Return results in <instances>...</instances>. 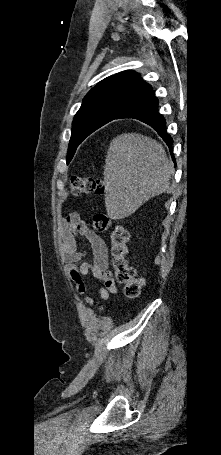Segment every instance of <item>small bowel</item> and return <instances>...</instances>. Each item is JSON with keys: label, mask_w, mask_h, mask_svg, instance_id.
Masks as SVG:
<instances>
[{"label": "small bowel", "mask_w": 221, "mask_h": 455, "mask_svg": "<svg viewBox=\"0 0 221 455\" xmlns=\"http://www.w3.org/2000/svg\"><path fill=\"white\" fill-rule=\"evenodd\" d=\"M61 250L62 256L72 266V277L76 283L79 293L86 290L82 276L92 274L95 279L101 282L99 286V299L85 296L84 301L88 305H95L109 298L116 293L117 288L108 271V252L105 242L101 237L91 231L80 219L79 215L71 214L60 223ZM77 236L85 238L92 250V262H80L82 253L78 250Z\"/></svg>", "instance_id": "obj_1"}]
</instances>
